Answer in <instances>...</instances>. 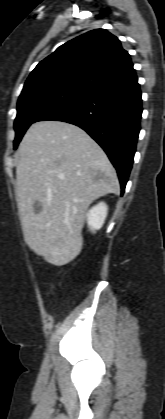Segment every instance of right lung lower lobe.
Instances as JSON below:
<instances>
[{
	"mask_svg": "<svg viewBox=\"0 0 165 419\" xmlns=\"http://www.w3.org/2000/svg\"><path fill=\"white\" fill-rule=\"evenodd\" d=\"M142 99L135 70L51 110L38 121L57 120L84 129L106 152L124 193L140 131Z\"/></svg>",
	"mask_w": 165,
	"mask_h": 419,
	"instance_id": "right-lung-lower-lobe-1",
	"label": "right lung lower lobe"
}]
</instances>
